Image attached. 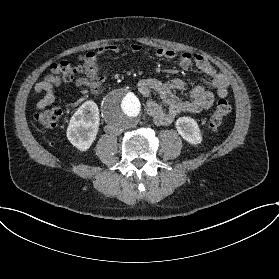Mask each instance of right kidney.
<instances>
[{
  "mask_svg": "<svg viewBox=\"0 0 279 279\" xmlns=\"http://www.w3.org/2000/svg\"><path fill=\"white\" fill-rule=\"evenodd\" d=\"M100 126L98 105L93 100L84 102L69 120L66 136L79 151L85 152L95 142Z\"/></svg>",
  "mask_w": 279,
  "mask_h": 279,
  "instance_id": "ca27d5eb",
  "label": "right kidney"
}]
</instances>
